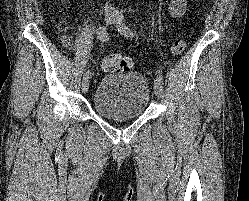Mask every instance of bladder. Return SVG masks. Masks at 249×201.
Masks as SVG:
<instances>
[{
    "label": "bladder",
    "mask_w": 249,
    "mask_h": 201,
    "mask_svg": "<svg viewBox=\"0 0 249 201\" xmlns=\"http://www.w3.org/2000/svg\"><path fill=\"white\" fill-rule=\"evenodd\" d=\"M149 98V85L142 74H107L98 82L92 103L103 118L130 120L145 113Z\"/></svg>",
    "instance_id": "bladder-1"
}]
</instances>
